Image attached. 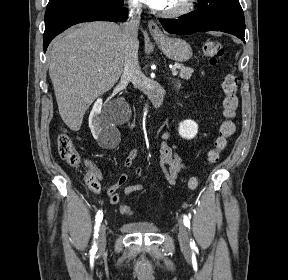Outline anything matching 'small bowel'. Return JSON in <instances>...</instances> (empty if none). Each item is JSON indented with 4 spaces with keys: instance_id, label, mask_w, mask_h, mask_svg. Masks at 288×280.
<instances>
[{
    "instance_id": "c3829d8e",
    "label": "small bowel",
    "mask_w": 288,
    "mask_h": 280,
    "mask_svg": "<svg viewBox=\"0 0 288 280\" xmlns=\"http://www.w3.org/2000/svg\"><path fill=\"white\" fill-rule=\"evenodd\" d=\"M170 137L171 134L169 132H165L162 135L159 159L166 181L170 185H175L180 173L185 170L187 166L182 162V159L177 154V146L168 143ZM138 155L139 151L137 149H133L128 152L124 158V165L129 170L133 171L137 176L141 174V169L135 164V160L138 158ZM88 164L94 169L98 179H100L101 173L98 168L92 162H88ZM127 180L128 175L123 173L118 177L116 182L108 188L107 195L111 204L115 205L119 203L120 196L118 190L126 184ZM143 189L144 185L140 183L128 185L124 188V194L128 196L134 192L142 191ZM121 206L122 204L120 205V208Z\"/></svg>"
}]
</instances>
